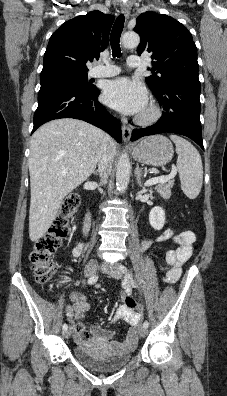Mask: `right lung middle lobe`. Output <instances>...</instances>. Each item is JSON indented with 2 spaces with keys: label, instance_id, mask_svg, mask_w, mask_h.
I'll list each match as a JSON object with an SVG mask.
<instances>
[{
  "label": "right lung middle lobe",
  "instance_id": "1",
  "mask_svg": "<svg viewBox=\"0 0 227 396\" xmlns=\"http://www.w3.org/2000/svg\"><path fill=\"white\" fill-rule=\"evenodd\" d=\"M41 87L53 84H67L81 90H94L96 87L88 81L87 70L70 68H52L43 70L40 75Z\"/></svg>",
  "mask_w": 227,
  "mask_h": 396
}]
</instances>
